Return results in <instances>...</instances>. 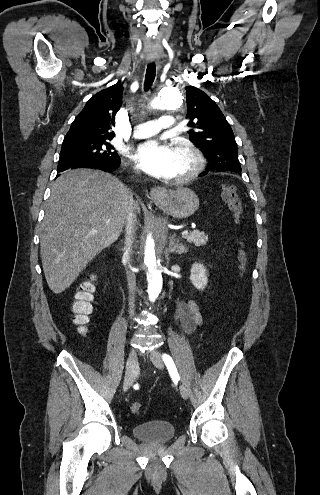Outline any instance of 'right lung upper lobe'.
<instances>
[{
    "instance_id": "1",
    "label": "right lung upper lobe",
    "mask_w": 320,
    "mask_h": 495,
    "mask_svg": "<svg viewBox=\"0 0 320 495\" xmlns=\"http://www.w3.org/2000/svg\"><path fill=\"white\" fill-rule=\"evenodd\" d=\"M123 87L116 83L92 96L77 115L64 140L107 139L115 133V115L120 109Z\"/></svg>"
}]
</instances>
